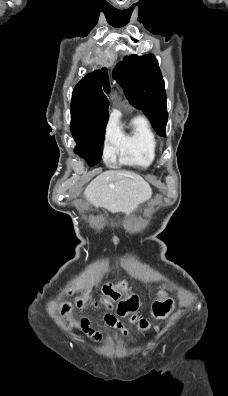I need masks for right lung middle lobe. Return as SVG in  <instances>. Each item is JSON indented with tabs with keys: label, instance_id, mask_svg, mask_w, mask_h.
Here are the masks:
<instances>
[{
	"label": "right lung middle lobe",
	"instance_id": "obj_1",
	"mask_svg": "<svg viewBox=\"0 0 228 396\" xmlns=\"http://www.w3.org/2000/svg\"><path fill=\"white\" fill-rule=\"evenodd\" d=\"M108 117V111L90 117L71 113V133L78 144L75 152L84 157L90 166L101 160Z\"/></svg>",
	"mask_w": 228,
	"mask_h": 396
}]
</instances>
